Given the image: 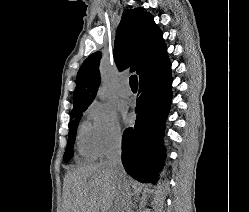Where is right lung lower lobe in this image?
I'll return each mask as SVG.
<instances>
[{"mask_svg": "<svg viewBox=\"0 0 249 212\" xmlns=\"http://www.w3.org/2000/svg\"><path fill=\"white\" fill-rule=\"evenodd\" d=\"M168 55L139 77L135 126L122 137V163L126 172L143 183H156L163 166L164 123L172 100Z\"/></svg>", "mask_w": 249, "mask_h": 212, "instance_id": "obj_1", "label": "right lung lower lobe"}]
</instances>
